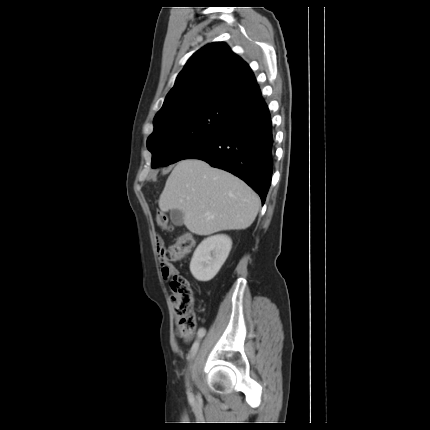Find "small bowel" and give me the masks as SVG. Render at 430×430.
Masks as SVG:
<instances>
[{
    "mask_svg": "<svg viewBox=\"0 0 430 430\" xmlns=\"http://www.w3.org/2000/svg\"><path fill=\"white\" fill-rule=\"evenodd\" d=\"M161 244H163L162 239L158 236L157 237V245L159 246ZM158 256H159V263L161 266L162 275L164 277L163 279L165 282L168 283L172 279L171 276L178 274V270L171 263H167L168 259L164 258V256H165L164 253L161 252V253H159ZM198 333H200L202 336H204L206 334L205 328H200L198 330Z\"/></svg>",
    "mask_w": 430,
    "mask_h": 430,
    "instance_id": "obj_1",
    "label": "small bowel"
}]
</instances>
